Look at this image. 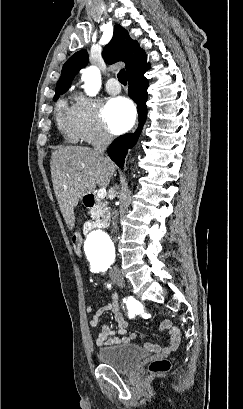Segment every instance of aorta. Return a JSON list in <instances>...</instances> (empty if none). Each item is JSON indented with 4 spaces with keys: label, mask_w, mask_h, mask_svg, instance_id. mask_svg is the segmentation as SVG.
<instances>
[{
    "label": "aorta",
    "mask_w": 243,
    "mask_h": 409,
    "mask_svg": "<svg viewBox=\"0 0 243 409\" xmlns=\"http://www.w3.org/2000/svg\"><path fill=\"white\" fill-rule=\"evenodd\" d=\"M84 89L87 95L95 96L101 88V74L96 66L82 71ZM113 245L109 236L102 230L91 231L85 241V251L90 261L100 264L109 254Z\"/></svg>",
    "instance_id": "762f6f07"
}]
</instances>
